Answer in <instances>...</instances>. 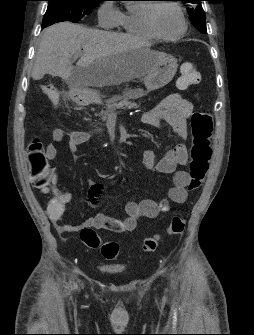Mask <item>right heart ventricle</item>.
Wrapping results in <instances>:
<instances>
[{"label":"right heart ventricle","mask_w":254,"mask_h":335,"mask_svg":"<svg viewBox=\"0 0 254 335\" xmlns=\"http://www.w3.org/2000/svg\"><path fill=\"white\" fill-rule=\"evenodd\" d=\"M149 4H140L135 11L121 12L118 25L126 33L143 38L155 39L156 37L149 31L144 21V11Z\"/></svg>","instance_id":"right-heart-ventricle-1"}]
</instances>
